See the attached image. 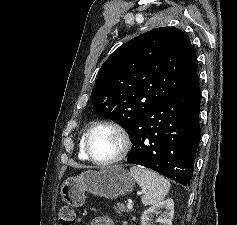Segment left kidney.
Listing matches in <instances>:
<instances>
[{
  "instance_id": "1",
  "label": "left kidney",
  "mask_w": 237,
  "mask_h": 225,
  "mask_svg": "<svg viewBox=\"0 0 237 225\" xmlns=\"http://www.w3.org/2000/svg\"><path fill=\"white\" fill-rule=\"evenodd\" d=\"M154 214L157 217L155 221L159 222L160 225H172V218L174 215L173 200L168 199L159 202L145 210L141 217V225H153L151 218Z\"/></svg>"
}]
</instances>
